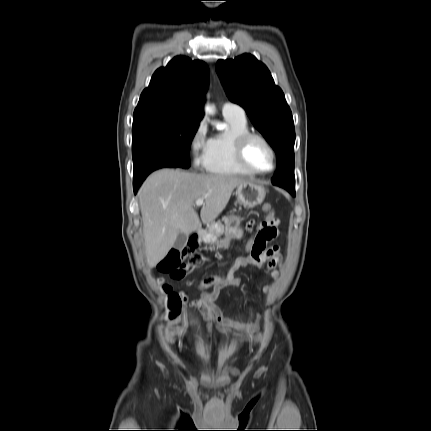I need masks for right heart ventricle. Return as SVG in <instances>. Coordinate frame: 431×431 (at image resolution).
Returning <instances> with one entry per match:
<instances>
[{
  "mask_svg": "<svg viewBox=\"0 0 431 431\" xmlns=\"http://www.w3.org/2000/svg\"><path fill=\"white\" fill-rule=\"evenodd\" d=\"M228 123V129L214 136L211 140V148L206 170L219 175H249L235 160L234 145L236 139L249 131L245 118L236 116H224Z\"/></svg>",
  "mask_w": 431,
  "mask_h": 431,
  "instance_id": "1",
  "label": "right heart ventricle"
}]
</instances>
